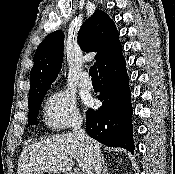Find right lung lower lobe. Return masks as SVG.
<instances>
[{
	"label": "right lung lower lobe",
	"instance_id": "obj_1",
	"mask_svg": "<svg viewBox=\"0 0 175 174\" xmlns=\"http://www.w3.org/2000/svg\"><path fill=\"white\" fill-rule=\"evenodd\" d=\"M100 77L102 87L98 99L102 106L87 110V133L104 145L125 148L133 153V109L124 57L121 55L105 66Z\"/></svg>",
	"mask_w": 175,
	"mask_h": 174
}]
</instances>
